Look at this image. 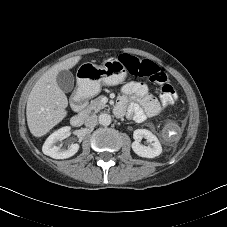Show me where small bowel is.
<instances>
[{
  "label": "small bowel",
  "instance_id": "1",
  "mask_svg": "<svg viewBox=\"0 0 227 227\" xmlns=\"http://www.w3.org/2000/svg\"><path fill=\"white\" fill-rule=\"evenodd\" d=\"M162 111V105L141 82H129L122 87L115 109L117 115L126 112L129 118L138 122L155 117Z\"/></svg>",
  "mask_w": 227,
  "mask_h": 227
}]
</instances>
